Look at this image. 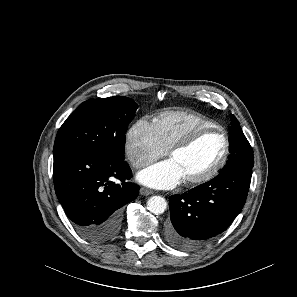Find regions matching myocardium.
I'll return each mask as SVG.
<instances>
[{
	"label": "myocardium",
	"mask_w": 297,
	"mask_h": 297,
	"mask_svg": "<svg viewBox=\"0 0 297 297\" xmlns=\"http://www.w3.org/2000/svg\"><path fill=\"white\" fill-rule=\"evenodd\" d=\"M207 133H217L219 134L224 142V149L223 152L219 158V160L205 173L193 177V178H186L184 179L185 184L193 186V185H199L202 183H205L209 180H211L213 177H215L218 172L223 168L225 165L229 153H230V141L225 133V131L218 127V126H207V127H200L197 129H194L190 131L188 134H186L183 138L178 140L175 144L171 146V148L168 151L169 157L174 155L175 153L184 150L191 146L200 136L207 134Z\"/></svg>",
	"instance_id": "f54148a6"
}]
</instances>
